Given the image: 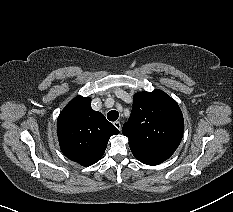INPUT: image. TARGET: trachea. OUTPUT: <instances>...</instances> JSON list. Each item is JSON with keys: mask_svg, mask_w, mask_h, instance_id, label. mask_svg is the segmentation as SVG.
Wrapping results in <instances>:
<instances>
[{"mask_svg": "<svg viewBox=\"0 0 233 212\" xmlns=\"http://www.w3.org/2000/svg\"><path fill=\"white\" fill-rule=\"evenodd\" d=\"M119 117V113L116 110H111L108 114H107V118L110 121H116Z\"/></svg>", "mask_w": 233, "mask_h": 212, "instance_id": "obj_1", "label": "trachea"}]
</instances>
